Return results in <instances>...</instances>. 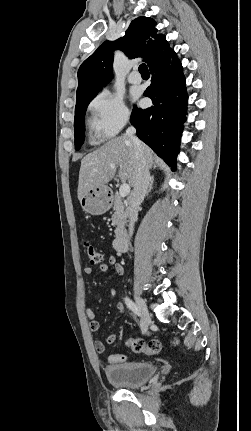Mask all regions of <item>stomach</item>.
<instances>
[{
  "mask_svg": "<svg viewBox=\"0 0 251 431\" xmlns=\"http://www.w3.org/2000/svg\"><path fill=\"white\" fill-rule=\"evenodd\" d=\"M82 209L91 215H102L111 207V197L106 186L89 190L81 199Z\"/></svg>",
  "mask_w": 251,
  "mask_h": 431,
  "instance_id": "obj_1",
  "label": "stomach"
}]
</instances>
